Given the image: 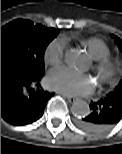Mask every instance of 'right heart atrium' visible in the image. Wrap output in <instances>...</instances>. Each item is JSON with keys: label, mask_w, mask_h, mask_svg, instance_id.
Segmentation results:
<instances>
[{"label": "right heart atrium", "mask_w": 122, "mask_h": 154, "mask_svg": "<svg viewBox=\"0 0 122 154\" xmlns=\"http://www.w3.org/2000/svg\"><path fill=\"white\" fill-rule=\"evenodd\" d=\"M65 54V42L62 39H54L47 46L45 51V62L52 66L58 67L62 64Z\"/></svg>", "instance_id": "obj_1"}]
</instances>
